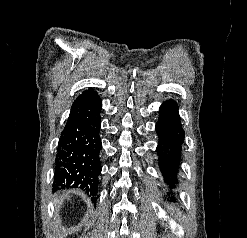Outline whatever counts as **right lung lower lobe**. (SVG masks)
<instances>
[{
    "mask_svg": "<svg viewBox=\"0 0 247 238\" xmlns=\"http://www.w3.org/2000/svg\"><path fill=\"white\" fill-rule=\"evenodd\" d=\"M102 101L89 89L72 104L55 162V188H80L96 196L101 172L99 131Z\"/></svg>",
    "mask_w": 247,
    "mask_h": 238,
    "instance_id": "right-lung-lower-lobe-1",
    "label": "right lung lower lobe"
}]
</instances>
